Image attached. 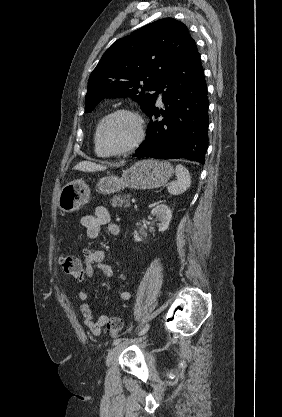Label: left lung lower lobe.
I'll list each match as a JSON object with an SVG mask.
<instances>
[{
	"label": "left lung lower lobe",
	"instance_id": "obj_1",
	"mask_svg": "<svg viewBox=\"0 0 282 417\" xmlns=\"http://www.w3.org/2000/svg\"><path fill=\"white\" fill-rule=\"evenodd\" d=\"M165 110L151 107L146 140L133 157L185 158L204 164L208 147V97L204 70L195 42L174 61L160 90ZM164 118L161 120L159 117Z\"/></svg>",
	"mask_w": 282,
	"mask_h": 417
}]
</instances>
